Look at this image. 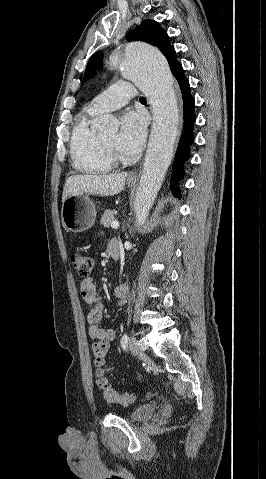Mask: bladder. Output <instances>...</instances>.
<instances>
[{"label":"bladder","mask_w":266,"mask_h":479,"mask_svg":"<svg viewBox=\"0 0 266 479\" xmlns=\"http://www.w3.org/2000/svg\"><path fill=\"white\" fill-rule=\"evenodd\" d=\"M155 405L153 404H142L135 407L128 414V419L131 421H141L151 417L155 412Z\"/></svg>","instance_id":"obj_1"}]
</instances>
